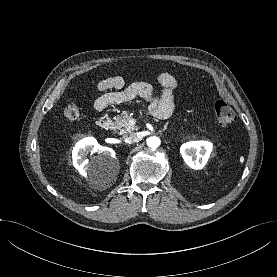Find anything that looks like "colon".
Returning <instances> with one entry per match:
<instances>
[{"mask_svg":"<svg viewBox=\"0 0 277 277\" xmlns=\"http://www.w3.org/2000/svg\"><path fill=\"white\" fill-rule=\"evenodd\" d=\"M63 113L66 118L76 120L80 116V105L77 99H71L64 107ZM216 123L219 127H227L235 120L233 109L224 101H217L214 105Z\"/></svg>","mask_w":277,"mask_h":277,"instance_id":"1","label":"colon"}]
</instances>
